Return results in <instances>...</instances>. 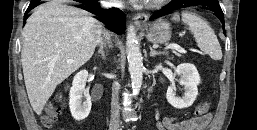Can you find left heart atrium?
I'll use <instances>...</instances> for the list:
<instances>
[{"label":"left heart atrium","instance_id":"39dd6f15","mask_svg":"<svg viewBox=\"0 0 257 130\" xmlns=\"http://www.w3.org/2000/svg\"><path fill=\"white\" fill-rule=\"evenodd\" d=\"M133 1H149V0H133Z\"/></svg>","mask_w":257,"mask_h":130}]
</instances>
